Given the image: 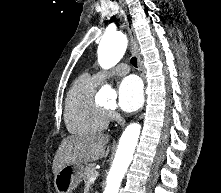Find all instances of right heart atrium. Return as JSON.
Returning a JSON list of instances; mask_svg holds the SVG:
<instances>
[{
    "instance_id": "d8ad5b80",
    "label": "right heart atrium",
    "mask_w": 221,
    "mask_h": 193,
    "mask_svg": "<svg viewBox=\"0 0 221 193\" xmlns=\"http://www.w3.org/2000/svg\"><path fill=\"white\" fill-rule=\"evenodd\" d=\"M108 116H109V118H114L115 117V113L113 112V111H109L108 112Z\"/></svg>"
}]
</instances>
